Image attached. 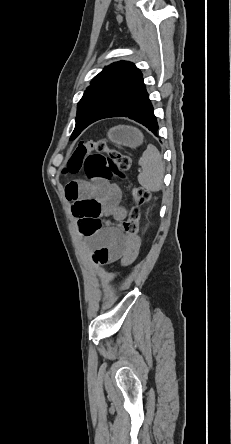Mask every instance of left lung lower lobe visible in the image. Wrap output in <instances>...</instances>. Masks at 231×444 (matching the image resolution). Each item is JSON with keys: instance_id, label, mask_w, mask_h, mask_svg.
<instances>
[{"instance_id": "obj_1", "label": "left lung lower lobe", "mask_w": 231, "mask_h": 444, "mask_svg": "<svg viewBox=\"0 0 231 444\" xmlns=\"http://www.w3.org/2000/svg\"><path fill=\"white\" fill-rule=\"evenodd\" d=\"M120 116L128 117L141 123L157 135L158 124L144 84L124 103L121 109L111 117Z\"/></svg>"}]
</instances>
